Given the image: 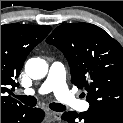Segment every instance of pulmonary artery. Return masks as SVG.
I'll return each instance as SVG.
<instances>
[{
    "instance_id": "obj_1",
    "label": "pulmonary artery",
    "mask_w": 123,
    "mask_h": 123,
    "mask_svg": "<svg viewBox=\"0 0 123 123\" xmlns=\"http://www.w3.org/2000/svg\"><path fill=\"white\" fill-rule=\"evenodd\" d=\"M65 68L61 63H53L49 69L48 75L40 88L35 91L34 89H26L24 94H47L53 92L58 100L62 103L76 108L78 110L86 111L89 108L87 102L77 100L69 91L65 82Z\"/></svg>"
}]
</instances>
